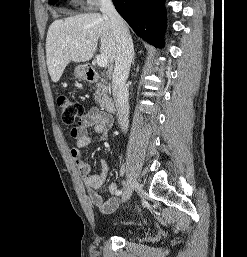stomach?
Returning a JSON list of instances; mask_svg holds the SVG:
<instances>
[{"instance_id": "0dacf381", "label": "stomach", "mask_w": 247, "mask_h": 257, "mask_svg": "<svg viewBox=\"0 0 247 257\" xmlns=\"http://www.w3.org/2000/svg\"><path fill=\"white\" fill-rule=\"evenodd\" d=\"M86 73V65H78L74 71L75 77L80 80L86 79Z\"/></svg>"}]
</instances>
